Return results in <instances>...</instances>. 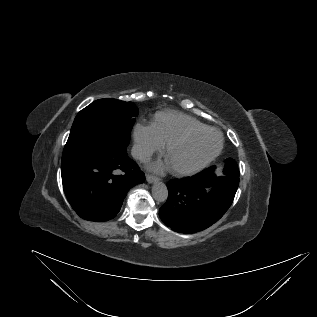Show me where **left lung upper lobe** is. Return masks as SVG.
<instances>
[{
  "instance_id": "1",
  "label": "left lung upper lobe",
  "mask_w": 317,
  "mask_h": 317,
  "mask_svg": "<svg viewBox=\"0 0 317 317\" xmlns=\"http://www.w3.org/2000/svg\"><path fill=\"white\" fill-rule=\"evenodd\" d=\"M211 169L213 170L214 167H211ZM224 172L233 174L235 176H239V170H238L237 164L233 159L231 158L226 159Z\"/></svg>"
}]
</instances>
